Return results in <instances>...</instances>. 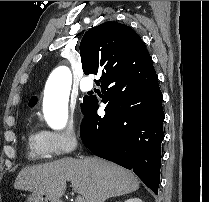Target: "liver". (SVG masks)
<instances>
[{
    "label": "liver",
    "mask_w": 209,
    "mask_h": 202,
    "mask_svg": "<svg viewBox=\"0 0 209 202\" xmlns=\"http://www.w3.org/2000/svg\"><path fill=\"white\" fill-rule=\"evenodd\" d=\"M71 181L74 192L85 202H104L139 189L135 175L97 157H65L50 163L23 168L14 183L17 190L31 191L59 199Z\"/></svg>",
    "instance_id": "6515ba94"
}]
</instances>
